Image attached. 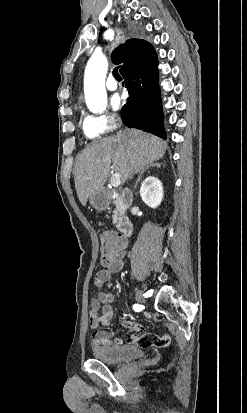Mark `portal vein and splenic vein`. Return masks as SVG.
<instances>
[{
  "mask_svg": "<svg viewBox=\"0 0 247 413\" xmlns=\"http://www.w3.org/2000/svg\"><path fill=\"white\" fill-rule=\"evenodd\" d=\"M111 184L112 186H119V184H121V174H119V172H114V174H112Z\"/></svg>",
  "mask_w": 247,
  "mask_h": 413,
  "instance_id": "1",
  "label": "portal vein and splenic vein"
}]
</instances>
